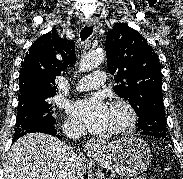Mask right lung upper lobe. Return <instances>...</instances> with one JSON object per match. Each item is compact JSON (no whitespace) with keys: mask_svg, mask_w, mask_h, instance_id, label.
I'll list each match as a JSON object with an SVG mask.
<instances>
[{"mask_svg":"<svg viewBox=\"0 0 183 179\" xmlns=\"http://www.w3.org/2000/svg\"><path fill=\"white\" fill-rule=\"evenodd\" d=\"M74 47V41L60 38L56 30L39 37L21 63L18 99L55 95V79L76 61Z\"/></svg>","mask_w":183,"mask_h":179,"instance_id":"obj_1","label":"right lung upper lobe"}]
</instances>
